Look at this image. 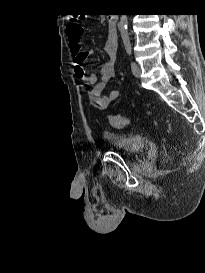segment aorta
<instances>
[{"label":"aorta","instance_id":"1","mask_svg":"<svg viewBox=\"0 0 205 273\" xmlns=\"http://www.w3.org/2000/svg\"><path fill=\"white\" fill-rule=\"evenodd\" d=\"M119 30L121 34V38L124 42L129 40V35H128V18L127 15H121L120 16V21H119Z\"/></svg>","mask_w":205,"mask_h":273}]
</instances>
